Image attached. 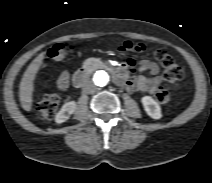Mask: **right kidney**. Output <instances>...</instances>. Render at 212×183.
Listing matches in <instances>:
<instances>
[{"mask_svg": "<svg viewBox=\"0 0 212 183\" xmlns=\"http://www.w3.org/2000/svg\"><path fill=\"white\" fill-rule=\"evenodd\" d=\"M76 110V102L75 101H69L65 103L61 110L56 114L55 121L56 123H63L67 121L71 114H73Z\"/></svg>", "mask_w": 212, "mask_h": 183, "instance_id": "1", "label": "right kidney"}]
</instances>
